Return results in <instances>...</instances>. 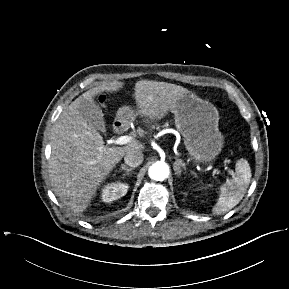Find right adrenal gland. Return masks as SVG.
Returning <instances> with one entry per match:
<instances>
[{"label": "right adrenal gland", "instance_id": "2a0ac1e0", "mask_svg": "<svg viewBox=\"0 0 289 289\" xmlns=\"http://www.w3.org/2000/svg\"><path fill=\"white\" fill-rule=\"evenodd\" d=\"M120 170H124L126 172V175H129V172L133 170V168H128L126 165L121 164Z\"/></svg>", "mask_w": 289, "mask_h": 289}]
</instances>
